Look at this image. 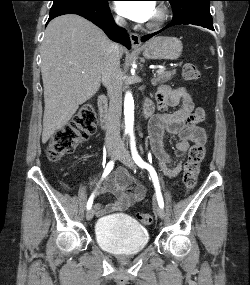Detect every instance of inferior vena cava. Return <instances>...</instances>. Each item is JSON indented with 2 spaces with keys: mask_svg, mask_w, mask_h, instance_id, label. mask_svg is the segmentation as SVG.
Here are the masks:
<instances>
[{
  "mask_svg": "<svg viewBox=\"0 0 250 285\" xmlns=\"http://www.w3.org/2000/svg\"><path fill=\"white\" fill-rule=\"evenodd\" d=\"M115 21L120 26H125L123 18L116 17ZM120 48L112 43L101 63L102 83L107 88L109 96V112L107 116L106 143L108 145L120 141V120L122 112V76L120 69Z\"/></svg>",
  "mask_w": 250,
  "mask_h": 285,
  "instance_id": "obj_1",
  "label": "inferior vena cava"
}]
</instances>
